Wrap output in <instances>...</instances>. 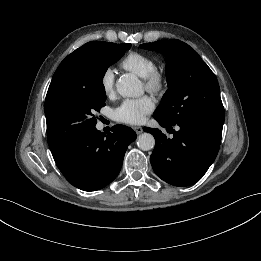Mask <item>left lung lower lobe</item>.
<instances>
[{"label":"left lung lower lobe","instance_id":"left-lung-lower-lobe-1","mask_svg":"<svg viewBox=\"0 0 261 261\" xmlns=\"http://www.w3.org/2000/svg\"><path fill=\"white\" fill-rule=\"evenodd\" d=\"M162 127L172 129L167 138L158 129L145 128L153 134L155 148L150 157L154 172L175 186H189L206 173L219 151L224 119H202L179 123V131L155 118Z\"/></svg>","mask_w":261,"mask_h":261}]
</instances>
